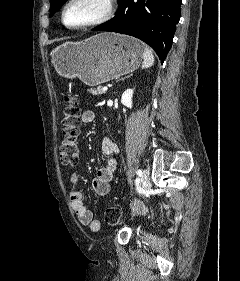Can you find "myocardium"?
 Segmentation results:
<instances>
[{
	"label": "myocardium",
	"mask_w": 240,
	"mask_h": 281,
	"mask_svg": "<svg viewBox=\"0 0 240 281\" xmlns=\"http://www.w3.org/2000/svg\"><path fill=\"white\" fill-rule=\"evenodd\" d=\"M73 2H75V0H67L66 3L63 5L62 10H61V14H60L61 23L63 24V26H65L66 28L71 29V30H79V29L94 27V26L103 24L106 21H108L114 13V2H113V0H103L104 10L97 18H95V19H93L89 22L79 24V25H73V26L68 25L65 21V13H66L68 7Z\"/></svg>",
	"instance_id": "myocardium-1"
}]
</instances>
